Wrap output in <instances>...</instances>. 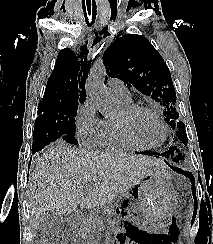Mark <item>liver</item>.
Listing matches in <instances>:
<instances>
[{"label":"liver","instance_id":"1","mask_svg":"<svg viewBox=\"0 0 213 244\" xmlns=\"http://www.w3.org/2000/svg\"><path fill=\"white\" fill-rule=\"evenodd\" d=\"M164 168L161 159L91 152L57 142L36 160L29 176L32 228H39L47 212L68 216L79 204L87 209L102 206Z\"/></svg>","mask_w":213,"mask_h":244}]
</instances>
